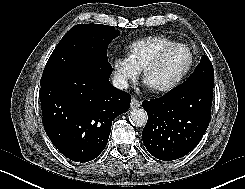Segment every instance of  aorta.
Segmentation results:
<instances>
[{
    "label": "aorta",
    "mask_w": 245,
    "mask_h": 189,
    "mask_svg": "<svg viewBox=\"0 0 245 189\" xmlns=\"http://www.w3.org/2000/svg\"><path fill=\"white\" fill-rule=\"evenodd\" d=\"M147 113L142 108H135L130 112V121L136 127H143L147 123Z\"/></svg>",
    "instance_id": "obj_1"
}]
</instances>
